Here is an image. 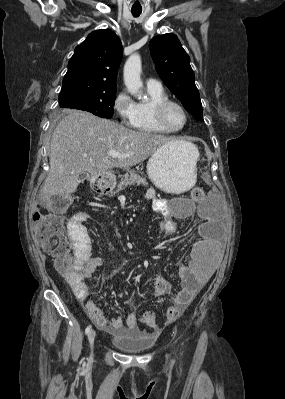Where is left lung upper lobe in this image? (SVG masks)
Instances as JSON below:
<instances>
[{
	"label": "left lung upper lobe",
	"instance_id": "left-lung-upper-lobe-1",
	"mask_svg": "<svg viewBox=\"0 0 285 399\" xmlns=\"http://www.w3.org/2000/svg\"><path fill=\"white\" fill-rule=\"evenodd\" d=\"M149 49L156 71L164 84L196 120L203 121L202 104L194 82L190 57L177 36L170 33L158 35L150 40Z\"/></svg>",
	"mask_w": 285,
	"mask_h": 399
}]
</instances>
